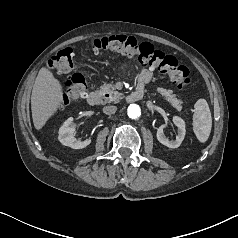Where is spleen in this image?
<instances>
[{"instance_id":"1","label":"spleen","mask_w":238,"mask_h":238,"mask_svg":"<svg viewBox=\"0 0 238 238\" xmlns=\"http://www.w3.org/2000/svg\"><path fill=\"white\" fill-rule=\"evenodd\" d=\"M211 128L212 117L208 103L205 99H199L194 105L193 131L201 143L208 140Z\"/></svg>"}]
</instances>
